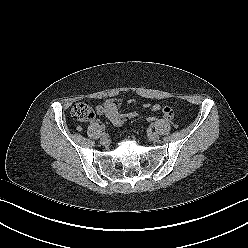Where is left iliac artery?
Wrapping results in <instances>:
<instances>
[{
  "label": "left iliac artery",
  "mask_w": 248,
  "mask_h": 248,
  "mask_svg": "<svg viewBox=\"0 0 248 248\" xmlns=\"http://www.w3.org/2000/svg\"><path fill=\"white\" fill-rule=\"evenodd\" d=\"M151 126L153 127L154 126V123H152Z\"/></svg>",
  "instance_id": "44dca946"
}]
</instances>
